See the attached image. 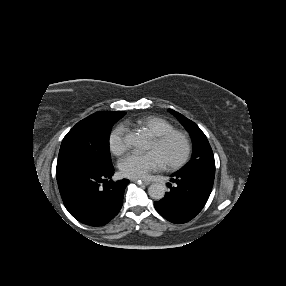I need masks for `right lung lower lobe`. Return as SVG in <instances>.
Returning <instances> with one entry per match:
<instances>
[{
	"mask_svg": "<svg viewBox=\"0 0 286 286\" xmlns=\"http://www.w3.org/2000/svg\"><path fill=\"white\" fill-rule=\"evenodd\" d=\"M111 165H76L57 171L61 197L68 212L90 226H102L113 219L123 204L127 179L112 180Z\"/></svg>",
	"mask_w": 286,
	"mask_h": 286,
	"instance_id": "right-lung-lower-lobe-1",
	"label": "right lung lower lobe"
}]
</instances>
